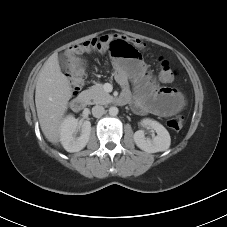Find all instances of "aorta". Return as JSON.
<instances>
[{
  "label": "aorta",
  "mask_w": 227,
  "mask_h": 227,
  "mask_svg": "<svg viewBox=\"0 0 227 227\" xmlns=\"http://www.w3.org/2000/svg\"><path fill=\"white\" fill-rule=\"evenodd\" d=\"M109 114L111 115V116H116L117 114H118V108L117 107H110L109 108Z\"/></svg>",
  "instance_id": "aorta-1"
}]
</instances>
